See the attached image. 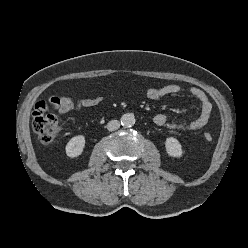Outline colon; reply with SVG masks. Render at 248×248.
I'll return each instance as SVG.
<instances>
[{
  "mask_svg": "<svg viewBox=\"0 0 248 248\" xmlns=\"http://www.w3.org/2000/svg\"><path fill=\"white\" fill-rule=\"evenodd\" d=\"M33 129L42 143L50 144L59 134V121L53 115L38 116L34 118ZM203 138L207 142L212 141V135L208 132L203 134Z\"/></svg>",
  "mask_w": 248,
  "mask_h": 248,
  "instance_id": "1",
  "label": "colon"
}]
</instances>
